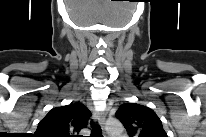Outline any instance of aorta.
Returning <instances> with one entry per match:
<instances>
[{
  "label": "aorta",
  "mask_w": 206,
  "mask_h": 137,
  "mask_svg": "<svg viewBox=\"0 0 206 137\" xmlns=\"http://www.w3.org/2000/svg\"><path fill=\"white\" fill-rule=\"evenodd\" d=\"M123 131V125L119 121H116L114 123L110 122L107 125V132L112 137L120 136L123 133Z\"/></svg>",
  "instance_id": "aorta-1"
}]
</instances>
